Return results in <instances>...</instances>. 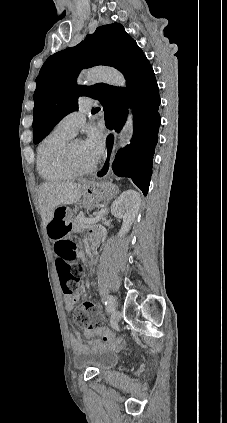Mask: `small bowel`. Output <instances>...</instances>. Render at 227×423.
Returning a JSON list of instances; mask_svg holds the SVG:
<instances>
[{"instance_id":"obj_1","label":"small bowel","mask_w":227,"mask_h":423,"mask_svg":"<svg viewBox=\"0 0 227 423\" xmlns=\"http://www.w3.org/2000/svg\"><path fill=\"white\" fill-rule=\"evenodd\" d=\"M57 221H62V220L53 219L48 224V234H49V237L52 240H53V238L51 237L50 231H51L52 226ZM53 242H54V240H53ZM78 300H79L78 295H65L64 294L65 310L67 312H71L73 310L74 306L76 305V303L78 302ZM85 335L88 338L102 337V339L105 342H113L114 341L112 336L107 331H105L103 329L86 330ZM116 343H119V341H116ZM72 345H73V349H74L75 352H81L85 349V346L82 344L81 340L79 339V337L76 334L72 336Z\"/></svg>"}]
</instances>
